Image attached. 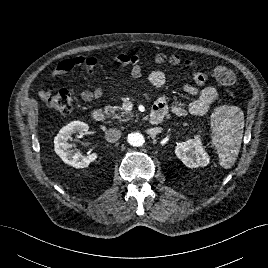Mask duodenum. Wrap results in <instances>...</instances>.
Instances as JSON below:
<instances>
[{
  "label": "duodenum",
  "mask_w": 268,
  "mask_h": 268,
  "mask_svg": "<svg viewBox=\"0 0 268 268\" xmlns=\"http://www.w3.org/2000/svg\"><path fill=\"white\" fill-rule=\"evenodd\" d=\"M164 117V114L161 112H152L148 118V123L151 125L158 124ZM105 118L104 112L100 109H97L93 113V119L96 122H102Z\"/></svg>",
  "instance_id": "1"
}]
</instances>
